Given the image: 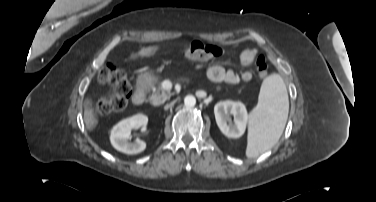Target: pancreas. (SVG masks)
<instances>
[{
    "instance_id": "obj_1",
    "label": "pancreas",
    "mask_w": 376,
    "mask_h": 202,
    "mask_svg": "<svg viewBox=\"0 0 376 202\" xmlns=\"http://www.w3.org/2000/svg\"><path fill=\"white\" fill-rule=\"evenodd\" d=\"M150 86L153 89L152 95L149 97L150 102L153 105H160L164 103L169 97L170 94L166 91L162 86L161 83L157 79H153L149 82ZM155 85H158L155 87Z\"/></svg>"
}]
</instances>
